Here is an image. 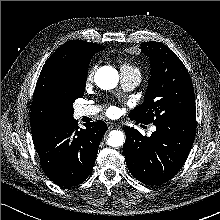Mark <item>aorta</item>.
Returning <instances> with one entry per match:
<instances>
[{
  "label": "aorta",
  "instance_id": "762f6f07",
  "mask_svg": "<svg viewBox=\"0 0 220 220\" xmlns=\"http://www.w3.org/2000/svg\"><path fill=\"white\" fill-rule=\"evenodd\" d=\"M119 81V74L116 69L111 66H103L99 68L95 74L96 85L103 90H110L116 87ZM125 137L122 131L112 130L109 133L107 143L114 148L123 145Z\"/></svg>",
  "mask_w": 220,
  "mask_h": 220
}]
</instances>
